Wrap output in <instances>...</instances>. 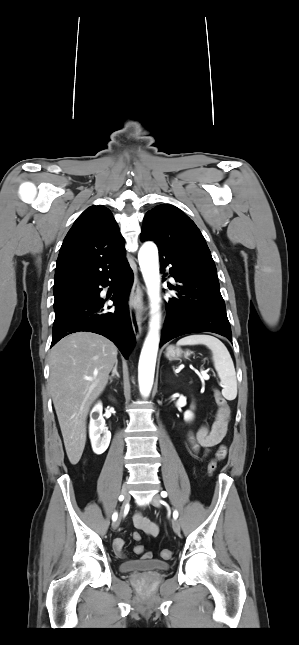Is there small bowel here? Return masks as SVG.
<instances>
[{
  "instance_id": "1",
  "label": "small bowel",
  "mask_w": 299,
  "mask_h": 645,
  "mask_svg": "<svg viewBox=\"0 0 299 645\" xmlns=\"http://www.w3.org/2000/svg\"><path fill=\"white\" fill-rule=\"evenodd\" d=\"M227 424L224 423L220 412L218 411L214 422L211 425H203L198 431L188 435V443L193 454H198L200 449L206 453L210 452L214 447H218L217 456L223 458L226 455V447L220 445L226 434ZM134 526L149 536H156L159 532L158 525L151 521L149 518L142 516L139 512L134 514ZM139 534V533H134ZM133 534V538H134ZM125 541L121 537H117L113 541V549L119 558H124L123 553ZM152 557L150 552L143 555V559H150Z\"/></svg>"
}]
</instances>
